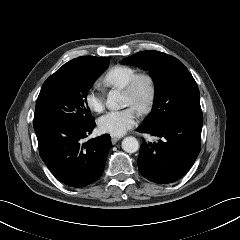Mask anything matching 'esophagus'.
<instances>
[{"label":"esophagus","instance_id":"1","mask_svg":"<svg viewBox=\"0 0 240 240\" xmlns=\"http://www.w3.org/2000/svg\"><path fill=\"white\" fill-rule=\"evenodd\" d=\"M119 139H120V137H118V136H111V141L113 144H115Z\"/></svg>","mask_w":240,"mask_h":240}]
</instances>
